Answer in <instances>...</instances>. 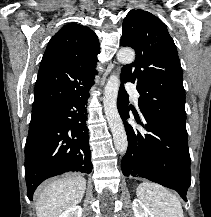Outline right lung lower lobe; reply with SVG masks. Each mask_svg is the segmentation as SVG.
<instances>
[{
	"label": "right lung lower lobe",
	"instance_id": "98d812e1",
	"mask_svg": "<svg viewBox=\"0 0 211 217\" xmlns=\"http://www.w3.org/2000/svg\"><path fill=\"white\" fill-rule=\"evenodd\" d=\"M88 90L32 114L25 145V178L30 200L37 186L47 178L69 171H92L85 125Z\"/></svg>",
	"mask_w": 211,
	"mask_h": 217
}]
</instances>
